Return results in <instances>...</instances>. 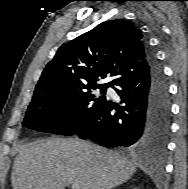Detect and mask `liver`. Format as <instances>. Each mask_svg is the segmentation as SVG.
I'll list each match as a JSON object with an SVG mask.
<instances>
[{
  "label": "liver",
  "mask_w": 188,
  "mask_h": 189,
  "mask_svg": "<svg viewBox=\"0 0 188 189\" xmlns=\"http://www.w3.org/2000/svg\"><path fill=\"white\" fill-rule=\"evenodd\" d=\"M136 166L116 152L74 138H49L23 146L14 160L13 189H112Z\"/></svg>",
  "instance_id": "liver-1"
}]
</instances>
